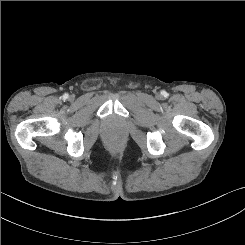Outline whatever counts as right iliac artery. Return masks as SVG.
Segmentation results:
<instances>
[{
	"label": "right iliac artery",
	"instance_id": "obj_1",
	"mask_svg": "<svg viewBox=\"0 0 245 245\" xmlns=\"http://www.w3.org/2000/svg\"><path fill=\"white\" fill-rule=\"evenodd\" d=\"M63 98H64V99H67V98H68V94H64V95H63Z\"/></svg>",
	"mask_w": 245,
	"mask_h": 245
}]
</instances>
